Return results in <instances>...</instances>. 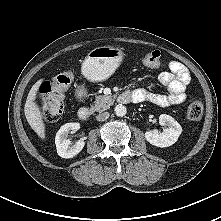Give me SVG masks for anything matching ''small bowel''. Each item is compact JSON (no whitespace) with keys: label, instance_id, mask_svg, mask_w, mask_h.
Returning <instances> with one entry per match:
<instances>
[{"label":"small bowel","instance_id":"obj_1","mask_svg":"<svg viewBox=\"0 0 221 221\" xmlns=\"http://www.w3.org/2000/svg\"><path fill=\"white\" fill-rule=\"evenodd\" d=\"M169 69V72H163L159 76V82L166 88L167 94L154 93L142 88L129 90L127 93L135 102L149 101L162 107L183 103L190 81L189 72L178 61H171Z\"/></svg>","mask_w":221,"mask_h":221}]
</instances>
